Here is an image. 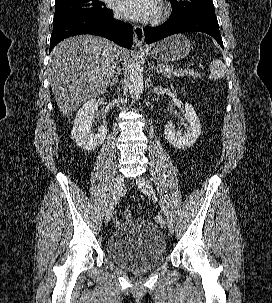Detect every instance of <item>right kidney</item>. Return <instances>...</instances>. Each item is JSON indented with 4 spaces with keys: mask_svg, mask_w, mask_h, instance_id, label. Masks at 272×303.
<instances>
[{
    "mask_svg": "<svg viewBox=\"0 0 272 303\" xmlns=\"http://www.w3.org/2000/svg\"><path fill=\"white\" fill-rule=\"evenodd\" d=\"M99 103L95 99L87 101L77 112L71 137L81 148L91 151L99 147L107 135V126H100L97 133L93 132V122Z\"/></svg>",
    "mask_w": 272,
    "mask_h": 303,
    "instance_id": "ca27d5eb",
    "label": "right kidney"
}]
</instances>
